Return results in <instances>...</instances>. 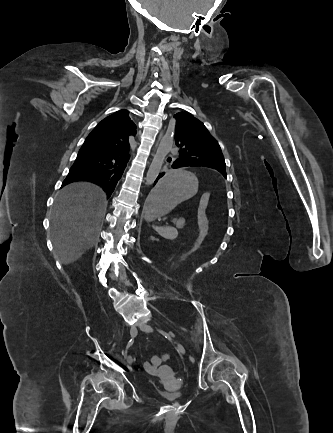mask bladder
<instances>
[{
	"mask_svg": "<svg viewBox=\"0 0 333 433\" xmlns=\"http://www.w3.org/2000/svg\"><path fill=\"white\" fill-rule=\"evenodd\" d=\"M159 395L162 399L173 402L180 400L184 396V393L182 391L160 390Z\"/></svg>",
	"mask_w": 333,
	"mask_h": 433,
	"instance_id": "31cf9c89",
	"label": "bladder"
}]
</instances>
